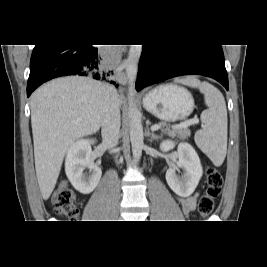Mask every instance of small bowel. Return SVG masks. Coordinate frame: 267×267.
<instances>
[{
    "mask_svg": "<svg viewBox=\"0 0 267 267\" xmlns=\"http://www.w3.org/2000/svg\"><path fill=\"white\" fill-rule=\"evenodd\" d=\"M198 194L178 198L179 204L185 215H189L196 207Z\"/></svg>",
    "mask_w": 267,
    "mask_h": 267,
    "instance_id": "1",
    "label": "small bowel"
}]
</instances>
